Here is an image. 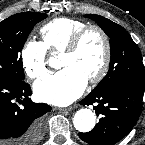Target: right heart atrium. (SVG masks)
I'll list each match as a JSON object with an SVG mask.
<instances>
[{
	"label": "right heart atrium",
	"instance_id": "obj_1",
	"mask_svg": "<svg viewBox=\"0 0 145 145\" xmlns=\"http://www.w3.org/2000/svg\"><path fill=\"white\" fill-rule=\"evenodd\" d=\"M21 61L31 79L40 78L48 72L47 50L41 42L27 41L21 50Z\"/></svg>",
	"mask_w": 145,
	"mask_h": 145
}]
</instances>
